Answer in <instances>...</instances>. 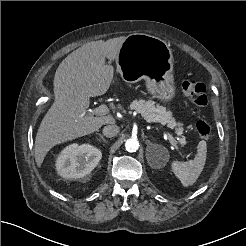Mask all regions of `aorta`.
Segmentation results:
<instances>
[{
  "instance_id": "1",
  "label": "aorta",
  "mask_w": 246,
  "mask_h": 246,
  "mask_svg": "<svg viewBox=\"0 0 246 246\" xmlns=\"http://www.w3.org/2000/svg\"><path fill=\"white\" fill-rule=\"evenodd\" d=\"M125 148L128 152H136L139 148V141L136 138H129L125 142Z\"/></svg>"
}]
</instances>
